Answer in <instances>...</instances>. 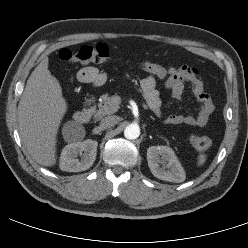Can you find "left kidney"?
Listing matches in <instances>:
<instances>
[{"label": "left kidney", "instance_id": "obj_1", "mask_svg": "<svg viewBox=\"0 0 248 248\" xmlns=\"http://www.w3.org/2000/svg\"><path fill=\"white\" fill-rule=\"evenodd\" d=\"M148 166L152 174L161 180L180 183L185 171L174 151L167 146H151L147 149Z\"/></svg>", "mask_w": 248, "mask_h": 248}]
</instances>
